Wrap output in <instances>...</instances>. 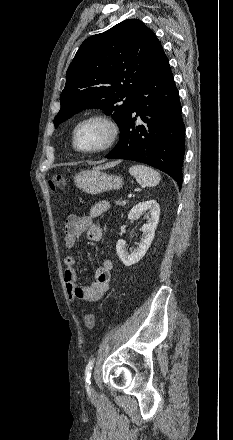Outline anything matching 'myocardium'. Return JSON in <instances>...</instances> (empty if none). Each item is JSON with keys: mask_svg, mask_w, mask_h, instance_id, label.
<instances>
[{"mask_svg": "<svg viewBox=\"0 0 233 440\" xmlns=\"http://www.w3.org/2000/svg\"><path fill=\"white\" fill-rule=\"evenodd\" d=\"M90 121H98V122H101L102 124H104L109 131V135H108L106 142L102 146L95 148V149L86 150V149H82L78 146L77 134H78L80 127L83 124L90 122ZM119 136H120V127H119L118 123L114 120L113 117H111L110 115H108L106 113H93V114L85 116L75 125L73 132H72V145H73L74 149L80 153L97 154V153H102V152H105V151H108L109 149H111L118 141Z\"/></svg>", "mask_w": 233, "mask_h": 440, "instance_id": "myocardium-1", "label": "myocardium"}]
</instances>
